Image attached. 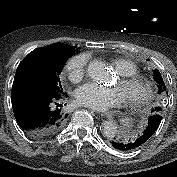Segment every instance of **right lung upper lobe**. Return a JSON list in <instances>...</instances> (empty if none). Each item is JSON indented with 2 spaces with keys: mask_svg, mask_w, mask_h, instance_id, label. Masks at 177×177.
I'll use <instances>...</instances> for the list:
<instances>
[{
  "mask_svg": "<svg viewBox=\"0 0 177 177\" xmlns=\"http://www.w3.org/2000/svg\"><path fill=\"white\" fill-rule=\"evenodd\" d=\"M74 52L73 46L62 43H55L46 47L37 48L25 57L18 66L17 71L25 66L48 68L68 59Z\"/></svg>",
  "mask_w": 177,
  "mask_h": 177,
  "instance_id": "obj_1",
  "label": "right lung upper lobe"
}]
</instances>
